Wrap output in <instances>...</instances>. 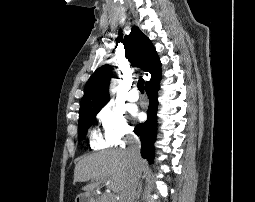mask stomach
<instances>
[{
	"instance_id": "0dacf381",
	"label": "stomach",
	"mask_w": 255,
	"mask_h": 202,
	"mask_svg": "<svg viewBox=\"0 0 255 202\" xmlns=\"http://www.w3.org/2000/svg\"><path fill=\"white\" fill-rule=\"evenodd\" d=\"M75 202H96L93 195L89 193L80 194L76 197Z\"/></svg>"
}]
</instances>
